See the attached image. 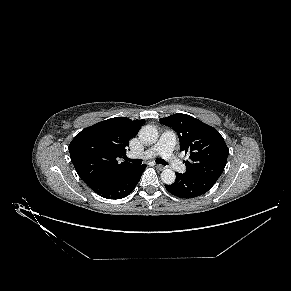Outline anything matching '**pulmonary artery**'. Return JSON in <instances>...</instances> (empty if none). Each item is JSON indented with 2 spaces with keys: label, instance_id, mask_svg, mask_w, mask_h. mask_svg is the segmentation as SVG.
Wrapping results in <instances>:
<instances>
[{
  "label": "pulmonary artery",
  "instance_id": "obj_1",
  "mask_svg": "<svg viewBox=\"0 0 291 291\" xmlns=\"http://www.w3.org/2000/svg\"><path fill=\"white\" fill-rule=\"evenodd\" d=\"M176 145V135L173 131H165L162 133L159 141L149 149H147L143 154V158H152L155 156H162L171 167L178 171L184 172L185 166L174 154V148Z\"/></svg>",
  "mask_w": 291,
  "mask_h": 291
}]
</instances>
